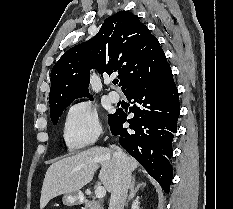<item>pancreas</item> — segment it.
<instances>
[{
  "label": "pancreas",
  "mask_w": 233,
  "mask_h": 209,
  "mask_svg": "<svg viewBox=\"0 0 233 209\" xmlns=\"http://www.w3.org/2000/svg\"><path fill=\"white\" fill-rule=\"evenodd\" d=\"M84 203H85L84 209H103L101 203L96 200H91V201L85 200Z\"/></svg>",
  "instance_id": "1"
}]
</instances>
